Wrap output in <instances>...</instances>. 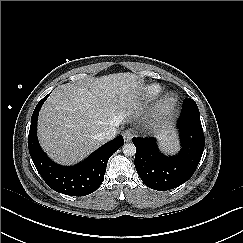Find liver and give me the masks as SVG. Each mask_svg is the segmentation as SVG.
Returning <instances> with one entry per match:
<instances>
[{"mask_svg": "<svg viewBox=\"0 0 243 243\" xmlns=\"http://www.w3.org/2000/svg\"><path fill=\"white\" fill-rule=\"evenodd\" d=\"M139 90L137 75L129 72L56 88L39 114L42 148L60 164L80 162L105 143L100 134L126 122L139 105Z\"/></svg>", "mask_w": 243, "mask_h": 243, "instance_id": "obj_1", "label": "liver"}]
</instances>
